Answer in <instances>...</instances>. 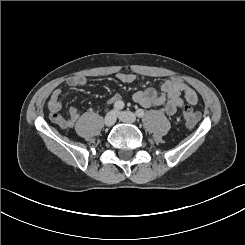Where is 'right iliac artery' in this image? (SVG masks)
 Listing matches in <instances>:
<instances>
[{
	"instance_id": "1",
	"label": "right iliac artery",
	"mask_w": 245,
	"mask_h": 245,
	"mask_svg": "<svg viewBox=\"0 0 245 245\" xmlns=\"http://www.w3.org/2000/svg\"><path fill=\"white\" fill-rule=\"evenodd\" d=\"M124 108V102L123 101H117L114 104V109L121 110Z\"/></svg>"
}]
</instances>
